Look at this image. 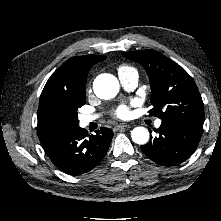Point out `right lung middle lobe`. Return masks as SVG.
<instances>
[{
    "mask_svg": "<svg viewBox=\"0 0 221 221\" xmlns=\"http://www.w3.org/2000/svg\"><path fill=\"white\" fill-rule=\"evenodd\" d=\"M86 97L54 99L48 103L45 111L47 121L54 127L70 132L78 128L77 111L85 104Z\"/></svg>",
    "mask_w": 221,
    "mask_h": 221,
    "instance_id": "dd1d6c3e",
    "label": "right lung middle lobe"
}]
</instances>
